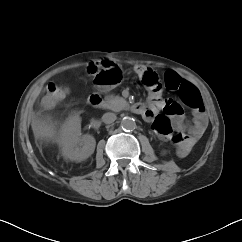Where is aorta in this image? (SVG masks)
Listing matches in <instances>:
<instances>
[{"label": "aorta", "mask_w": 242, "mask_h": 242, "mask_svg": "<svg viewBox=\"0 0 242 242\" xmlns=\"http://www.w3.org/2000/svg\"><path fill=\"white\" fill-rule=\"evenodd\" d=\"M121 127L124 131H133L136 128V122L131 117H124L121 121Z\"/></svg>", "instance_id": "aorta-1"}]
</instances>
